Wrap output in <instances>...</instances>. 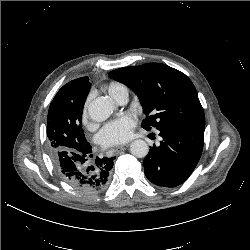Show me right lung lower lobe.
I'll list each match as a JSON object with an SVG mask.
<instances>
[{"instance_id": "obj_1", "label": "right lung lower lobe", "mask_w": 250, "mask_h": 250, "mask_svg": "<svg viewBox=\"0 0 250 250\" xmlns=\"http://www.w3.org/2000/svg\"><path fill=\"white\" fill-rule=\"evenodd\" d=\"M92 157V147L89 145L80 152L70 154L60 151L51 158L62 179L80 195L90 197L107 187L114 159Z\"/></svg>"}]
</instances>
